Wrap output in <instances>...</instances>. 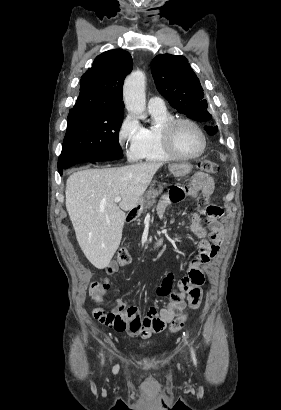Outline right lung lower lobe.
Segmentation results:
<instances>
[{
    "label": "right lung lower lobe",
    "mask_w": 281,
    "mask_h": 410,
    "mask_svg": "<svg viewBox=\"0 0 281 410\" xmlns=\"http://www.w3.org/2000/svg\"><path fill=\"white\" fill-rule=\"evenodd\" d=\"M90 163H99V162H90ZM75 164H77V163H73V164L67 166L66 168H69V167H71V166H73V165H75ZM66 168H64V169H66ZM59 173H60V175H62L63 170H60Z\"/></svg>",
    "instance_id": "1"
}]
</instances>
